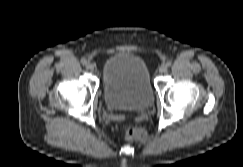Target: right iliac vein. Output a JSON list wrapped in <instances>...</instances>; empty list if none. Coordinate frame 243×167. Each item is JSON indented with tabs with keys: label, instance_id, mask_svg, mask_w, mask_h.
I'll use <instances>...</instances> for the list:
<instances>
[{
	"label": "right iliac vein",
	"instance_id": "63e3f726",
	"mask_svg": "<svg viewBox=\"0 0 243 167\" xmlns=\"http://www.w3.org/2000/svg\"><path fill=\"white\" fill-rule=\"evenodd\" d=\"M86 68L90 71L94 69V65L91 62L86 63Z\"/></svg>",
	"mask_w": 243,
	"mask_h": 167
}]
</instances>
